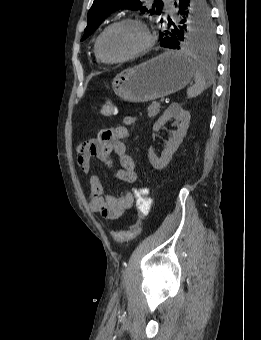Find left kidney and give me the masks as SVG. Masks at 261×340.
Segmentation results:
<instances>
[{
	"instance_id": "5707ae66",
	"label": "left kidney",
	"mask_w": 261,
	"mask_h": 340,
	"mask_svg": "<svg viewBox=\"0 0 261 340\" xmlns=\"http://www.w3.org/2000/svg\"><path fill=\"white\" fill-rule=\"evenodd\" d=\"M171 118H175L181 123L178 125V129L176 131L171 132L172 137L166 142L162 156L158 158L154 150L152 148L149 149V161L157 170L164 169L172 159L173 154L176 152L186 135L191 116L190 113L183 110L178 103H172L153 125V131L158 132L160 128Z\"/></svg>"
}]
</instances>
